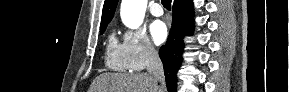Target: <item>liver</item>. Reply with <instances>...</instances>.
Returning <instances> with one entry per match:
<instances>
[{
    "instance_id": "liver-1",
    "label": "liver",
    "mask_w": 289,
    "mask_h": 92,
    "mask_svg": "<svg viewBox=\"0 0 289 92\" xmlns=\"http://www.w3.org/2000/svg\"><path fill=\"white\" fill-rule=\"evenodd\" d=\"M89 92H165L147 73H103L93 81ZM161 90V91H160Z\"/></svg>"
}]
</instances>
